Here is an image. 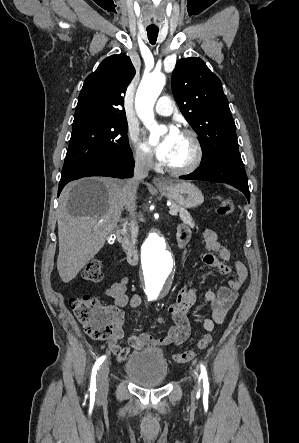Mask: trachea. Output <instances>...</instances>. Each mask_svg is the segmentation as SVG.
I'll list each match as a JSON object with an SVG mask.
<instances>
[{
    "mask_svg": "<svg viewBox=\"0 0 299 443\" xmlns=\"http://www.w3.org/2000/svg\"><path fill=\"white\" fill-rule=\"evenodd\" d=\"M159 30H147L149 42L154 45L158 37Z\"/></svg>",
    "mask_w": 299,
    "mask_h": 443,
    "instance_id": "trachea-1",
    "label": "trachea"
}]
</instances>
